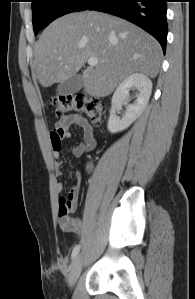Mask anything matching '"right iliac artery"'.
<instances>
[{"label": "right iliac artery", "instance_id": "obj_1", "mask_svg": "<svg viewBox=\"0 0 195 299\" xmlns=\"http://www.w3.org/2000/svg\"><path fill=\"white\" fill-rule=\"evenodd\" d=\"M80 250V246L79 245H76L72 251V254H71V259L74 260L78 254Z\"/></svg>", "mask_w": 195, "mask_h": 299}]
</instances>
